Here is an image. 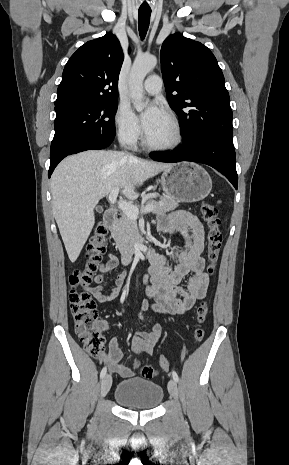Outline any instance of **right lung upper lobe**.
<instances>
[{
    "mask_svg": "<svg viewBox=\"0 0 289 465\" xmlns=\"http://www.w3.org/2000/svg\"><path fill=\"white\" fill-rule=\"evenodd\" d=\"M123 59L120 43L113 34L82 45L65 65L55 106L118 99V77Z\"/></svg>",
    "mask_w": 289,
    "mask_h": 465,
    "instance_id": "right-lung-upper-lobe-1",
    "label": "right lung upper lobe"
}]
</instances>
